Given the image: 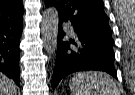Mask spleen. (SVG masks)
Listing matches in <instances>:
<instances>
[{
  "label": "spleen",
  "mask_w": 135,
  "mask_h": 95,
  "mask_svg": "<svg viewBox=\"0 0 135 95\" xmlns=\"http://www.w3.org/2000/svg\"><path fill=\"white\" fill-rule=\"evenodd\" d=\"M73 95H118L112 78L103 72H79L69 81Z\"/></svg>",
  "instance_id": "obj_1"
}]
</instances>
